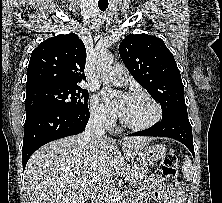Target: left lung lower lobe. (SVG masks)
<instances>
[{
    "instance_id": "obj_1",
    "label": "left lung lower lobe",
    "mask_w": 222,
    "mask_h": 203,
    "mask_svg": "<svg viewBox=\"0 0 222 203\" xmlns=\"http://www.w3.org/2000/svg\"><path fill=\"white\" fill-rule=\"evenodd\" d=\"M128 136H161L169 137L183 143L194 156L193 135L187 114L175 113L149 129L132 133Z\"/></svg>"
}]
</instances>
